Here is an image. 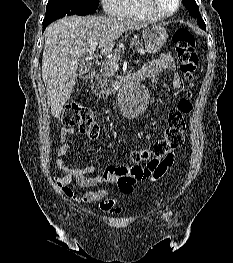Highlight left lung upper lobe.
<instances>
[{
  "instance_id": "obj_1",
  "label": "left lung upper lobe",
  "mask_w": 233,
  "mask_h": 263,
  "mask_svg": "<svg viewBox=\"0 0 233 263\" xmlns=\"http://www.w3.org/2000/svg\"><path fill=\"white\" fill-rule=\"evenodd\" d=\"M186 8L188 9V11L190 12V14L193 17L197 18V23L199 24V26L203 29H206L205 27V23L199 13V8L195 2V0H183Z\"/></svg>"
}]
</instances>
